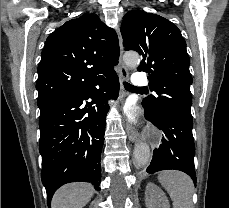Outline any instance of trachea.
<instances>
[{
    "label": "trachea",
    "mask_w": 229,
    "mask_h": 208,
    "mask_svg": "<svg viewBox=\"0 0 229 208\" xmlns=\"http://www.w3.org/2000/svg\"><path fill=\"white\" fill-rule=\"evenodd\" d=\"M123 84H124V87L126 89H128V88H137V87H134V85H131L130 83H127V82H124Z\"/></svg>",
    "instance_id": "trachea-1"
}]
</instances>
